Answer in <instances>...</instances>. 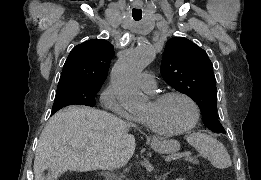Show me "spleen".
Returning a JSON list of instances; mask_svg holds the SVG:
<instances>
[{
  "instance_id": "3e777b00",
  "label": "spleen",
  "mask_w": 261,
  "mask_h": 180,
  "mask_svg": "<svg viewBox=\"0 0 261 180\" xmlns=\"http://www.w3.org/2000/svg\"><path fill=\"white\" fill-rule=\"evenodd\" d=\"M188 144H191L201 156L208 158L214 168H229L231 158L223 144L208 134H189L186 136Z\"/></svg>"
}]
</instances>
